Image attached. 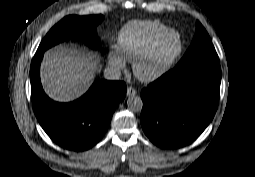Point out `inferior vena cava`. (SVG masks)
Segmentation results:
<instances>
[{
  "mask_svg": "<svg viewBox=\"0 0 255 177\" xmlns=\"http://www.w3.org/2000/svg\"><path fill=\"white\" fill-rule=\"evenodd\" d=\"M121 77V71L116 66H107L104 69V78L107 80H119Z\"/></svg>",
  "mask_w": 255,
  "mask_h": 177,
  "instance_id": "obj_1",
  "label": "inferior vena cava"
}]
</instances>
